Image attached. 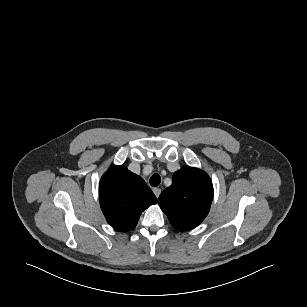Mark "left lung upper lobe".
<instances>
[{
    "mask_svg": "<svg viewBox=\"0 0 307 307\" xmlns=\"http://www.w3.org/2000/svg\"><path fill=\"white\" fill-rule=\"evenodd\" d=\"M212 199L209 176L200 169L183 167L174 173L172 185L160 194L158 204L175 229L186 231L204 220Z\"/></svg>",
    "mask_w": 307,
    "mask_h": 307,
    "instance_id": "1",
    "label": "left lung upper lobe"
}]
</instances>
